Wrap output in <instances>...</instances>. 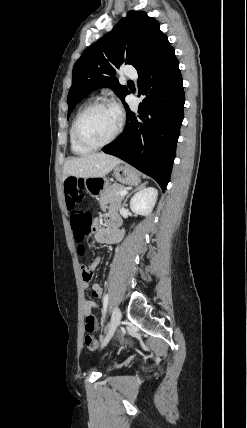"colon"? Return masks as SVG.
Masks as SVG:
<instances>
[{
	"mask_svg": "<svg viewBox=\"0 0 247 428\" xmlns=\"http://www.w3.org/2000/svg\"><path fill=\"white\" fill-rule=\"evenodd\" d=\"M64 190L65 207L67 213H70L72 216L74 236L78 242H82L90 233L93 224V219L90 216V209L84 199L83 183L75 177H69L64 182ZM79 252L80 254L84 253L83 245L79 246ZM85 306L88 309H95L98 303L95 300H86ZM97 322V319H91L90 317L84 320V326L87 332L84 342L87 348L91 350H95L98 346L97 340L92 336L96 332Z\"/></svg>",
	"mask_w": 247,
	"mask_h": 428,
	"instance_id": "obj_1",
	"label": "colon"
}]
</instances>
